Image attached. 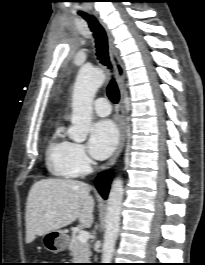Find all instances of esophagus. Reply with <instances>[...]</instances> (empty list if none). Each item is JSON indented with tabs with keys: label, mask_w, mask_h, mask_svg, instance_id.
Returning a JSON list of instances; mask_svg holds the SVG:
<instances>
[{
	"label": "esophagus",
	"mask_w": 205,
	"mask_h": 265,
	"mask_svg": "<svg viewBox=\"0 0 205 265\" xmlns=\"http://www.w3.org/2000/svg\"><path fill=\"white\" fill-rule=\"evenodd\" d=\"M101 25L103 26L107 38H108V49H109V55L111 62L113 64L115 74H116V80H117V85L120 91V99L116 107V113H117V122H118V127L120 131V137H119V144L118 147L113 154V156L109 159V161L105 164L104 169H108L111 166L115 164L117 161L118 157L120 156L124 145H125V140H126V127H125V119H124V79H125V69L124 65L122 62V59L120 57L119 51L115 46L114 43V37L108 28L107 24L100 20Z\"/></svg>",
	"instance_id": "1"
}]
</instances>
